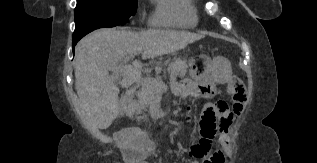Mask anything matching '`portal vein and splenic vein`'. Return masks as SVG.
Masks as SVG:
<instances>
[{"mask_svg": "<svg viewBox=\"0 0 317 163\" xmlns=\"http://www.w3.org/2000/svg\"><path fill=\"white\" fill-rule=\"evenodd\" d=\"M130 58H127L124 63L126 61H128ZM124 63H120L118 65H114L112 67H110L109 69L111 71H113L114 75L116 76H123V71H124ZM134 81L137 83H147L149 86L153 87L154 89H156V91H162L165 89V83L161 80V79H153V80H149L146 81L145 79H142L140 75H136L134 77Z\"/></svg>", "mask_w": 317, "mask_h": 163, "instance_id": "obj_1", "label": "portal vein and splenic vein"}]
</instances>
